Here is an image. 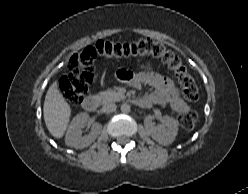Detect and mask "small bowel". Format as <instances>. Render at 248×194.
I'll return each mask as SVG.
<instances>
[{"label": "small bowel", "instance_id": "obj_1", "mask_svg": "<svg viewBox=\"0 0 248 194\" xmlns=\"http://www.w3.org/2000/svg\"><path fill=\"white\" fill-rule=\"evenodd\" d=\"M128 82L136 88L143 85L150 86L154 91L141 98L143 106L170 105L177 113H184L189 109V105L180 96L176 85L163 75L152 71H141L129 75Z\"/></svg>", "mask_w": 248, "mask_h": 194}]
</instances>
